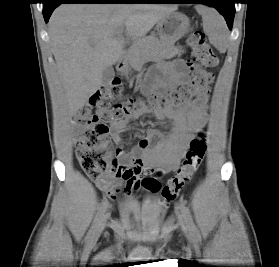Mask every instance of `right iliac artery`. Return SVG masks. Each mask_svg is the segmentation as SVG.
Here are the masks:
<instances>
[{
	"label": "right iliac artery",
	"mask_w": 279,
	"mask_h": 267,
	"mask_svg": "<svg viewBox=\"0 0 279 267\" xmlns=\"http://www.w3.org/2000/svg\"><path fill=\"white\" fill-rule=\"evenodd\" d=\"M107 206H108V201L105 200L101 203L99 209H98V212L94 218V221H93V224L86 236V239L87 241H90L92 239V236H93V233L98 225V223L100 222V219L102 218V216L104 215L106 209H107Z\"/></svg>",
	"instance_id": "1"
}]
</instances>
